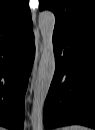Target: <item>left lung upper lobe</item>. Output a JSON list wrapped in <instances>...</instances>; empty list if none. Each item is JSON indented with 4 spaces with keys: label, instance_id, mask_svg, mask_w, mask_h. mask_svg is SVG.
<instances>
[{
    "label": "left lung upper lobe",
    "instance_id": "obj_1",
    "mask_svg": "<svg viewBox=\"0 0 95 130\" xmlns=\"http://www.w3.org/2000/svg\"><path fill=\"white\" fill-rule=\"evenodd\" d=\"M39 8L55 14L54 33L95 43V0H40Z\"/></svg>",
    "mask_w": 95,
    "mask_h": 130
}]
</instances>
